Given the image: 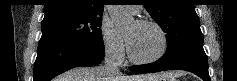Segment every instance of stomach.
Listing matches in <instances>:
<instances>
[{"mask_svg":"<svg viewBox=\"0 0 237 81\" xmlns=\"http://www.w3.org/2000/svg\"><path fill=\"white\" fill-rule=\"evenodd\" d=\"M152 81H172V80L169 79V78H157V79H154Z\"/></svg>","mask_w":237,"mask_h":81,"instance_id":"0dacf381","label":"stomach"}]
</instances>
